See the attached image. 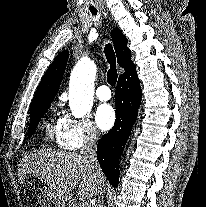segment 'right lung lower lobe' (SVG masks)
I'll use <instances>...</instances> for the list:
<instances>
[{"label":"right lung lower lobe","mask_w":206,"mask_h":207,"mask_svg":"<svg viewBox=\"0 0 206 207\" xmlns=\"http://www.w3.org/2000/svg\"><path fill=\"white\" fill-rule=\"evenodd\" d=\"M141 96L140 80L134 66L119 77L115 92L116 122L97 145V159L114 187L119 179V159L137 117Z\"/></svg>","instance_id":"right-lung-lower-lobe-1"}]
</instances>
